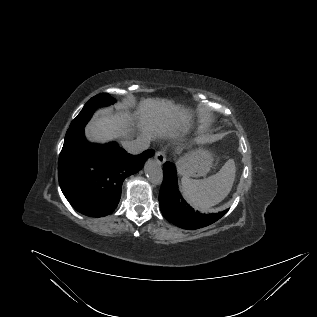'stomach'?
Listing matches in <instances>:
<instances>
[{
    "label": "stomach",
    "mask_w": 317,
    "mask_h": 317,
    "mask_svg": "<svg viewBox=\"0 0 317 317\" xmlns=\"http://www.w3.org/2000/svg\"><path fill=\"white\" fill-rule=\"evenodd\" d=\"M213 154L204 149L193 150L177 161L180 174L188 177L205 176L213 166Z\"/></svg>",
    "instance_id": "0dacf381"
}]
</instances>
